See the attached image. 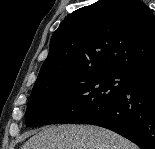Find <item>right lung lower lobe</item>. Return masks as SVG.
Returning a JSON list of instances; mask_svg holds the SVG:
<instances>
[{"instance_id": "1", "label": "right lung lower lobe", "mask_w": 155, "mask_h": 149, "mask_svg": "<svg viewBox=\"0 0 155 149\" xmlns=\"http://www.w3.org/2000/svg\"><path fill=\"white\" fill-rule=\"evenodd\" d=\"M82 124L110 129L141 149H155V70L132 74L125 92L96 119Z\"/></svg>"}]
</instances>
